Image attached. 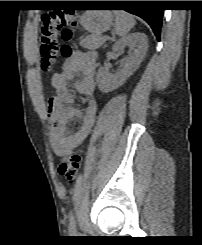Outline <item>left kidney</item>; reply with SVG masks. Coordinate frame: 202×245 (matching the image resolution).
Returning a JSON list of instances; mask_svg holds the SVG:
<instances>
[{
  "label": "left kidney",
  "instance_id": "obj_1",
  "mask_svg": "<svg viewBox=\"0 0 202 245\" xmlns=\"http://www.w3.org/2000/svg\"><path fill=\"white\" fill-rule=\"evenodd\" d=\"M128 47L132 51L124 60L121 71L117 74H110L108 69L101 67L97 73L99 89L108 93L122 86L139 67L148 49V38L144 33H132L118 40L112 47L114 55H120Z\"/></svg>",
  "mask_w": 202,
  "mask_h": 245
}]
</instances>
